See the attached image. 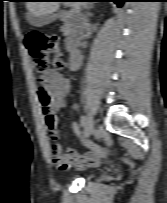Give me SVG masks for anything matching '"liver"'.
Instances as JSON below:
<instances>
[{"mask_svg": "<svg viewBox=\"0 0 167 203\" xmlns=\"http://www.w3.org/2000/svg\"><path fill=\"white\" fill-rule=\"evenodd\" d=\"M86 4L83 2H73L72 12L79 14L82 7ZM60 6V2H40V1H30L26 3V7L31 14L35 15H48L56 11Z\"/></svg>", "mask_w": 167, "mask_h": 203, "instance_id": "1", "label": "liver"}]
</instances>
